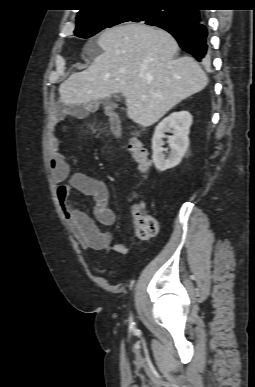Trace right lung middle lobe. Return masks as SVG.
I'll list each match as a JSON object with an SVG mask.
<instances>
[{
  "mask_svg": "<svg viewBox=\"0 0 255 387\" xmlns=\"http://www.w3.org/2000/svg\"><path fill=\"white\" fill-rule=\"evenodd\" d=\"M179 20L178 8L161 11L159 6H123L78 19L74 35L89 38L103 29L128 21L143 22L159 27Z\"/></svg>",
  "mask_w": 255,
  "mask_h": 387,
  "instance_id": "dd1d6c3e",
  "label": "right lung middle lobe"
}]
</instances>
